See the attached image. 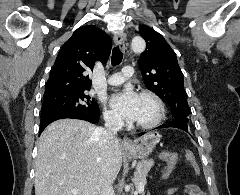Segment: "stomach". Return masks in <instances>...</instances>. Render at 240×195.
Listing matches in <instances>:
<instances>
[{
	"mask_svg": "<svg viewBox=\"0 0 240 195\" xmlns=\"http://www.w3.org/2000/svg\"><path fill=\"white\" fill-rule=\"evenodd\" d=\"M160 141V133L158 131H148L138 139L133 141V145L124 147L125 155L132 159H145L153 151L155 145Z\"/></svg>",
	"mask_w": 240,
	"mask_h": 195,
	"instance_id": "stomach-1",
	"label": "stomach"
}]
</instances>
